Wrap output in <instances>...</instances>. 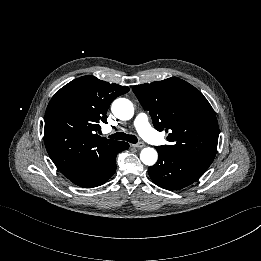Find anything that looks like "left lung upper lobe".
<instances>
[{"label":"left lung upper lobe","instance_id":"left-lung-upper-lobe-1","mask_svg":"<svg viewBox=\"0 0 261 261\" xmlns=\"http://www.w3.org/2000/svg\"><path fill=\"white\" fill-rule=\"evenodd\" d=\"M133 92L149 111L155 129L168 133L169 144L156 146L157 150L213 162L219 128L201 92L175 77L134 86Z\"/></svg>","mask_w":261,"mask_h":261}]
</instances>
